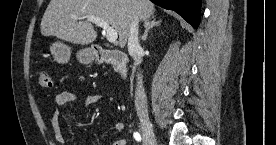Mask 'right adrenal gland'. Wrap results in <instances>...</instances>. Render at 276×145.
Returning <instances> with one entry per match:
<instances>
[{
  "instance_id": "2a0ac1e0",
  "label": "right adrenal gland",
  "mask_w": 276,
  "mask_h": 145,
  "mask_svg": "<svg viewBox=\"0 0 276 145\" xmlns=\"http://www.w3.org/2000/svg\"><path fill=\"white\" fill-rule=\"evenodd\" d=\"M161 22H162L161 20L157 21L155 17H153L152 19L146 20L144 22L145 32H144L143 36L141 37V40L146 41V38H147V35H148V32L150 31V29H152L154 26L161 25Z\"/></svg>"
}]
</instances>
